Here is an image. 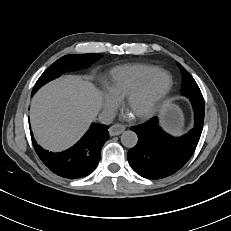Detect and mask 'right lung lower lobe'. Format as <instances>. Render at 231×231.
<instances>
[{"label":"right lung lower lobe","instance_id":"obj_1","mask_svg":"<svg viewBox=\"0 0 231 231\" xmlns=\"http://www.w3.org/2000/svg\"><path fill=\"white\" fill-rule=\"evenodd\" d=\"M108 126L93 123L87 133L72 148L59 153L40 147L32 136L35 151L41 161L55 174L77 179L89 175L98 165L101 149L109 139Z\"/></svg>","mask_w":231,"mask_h":231}]
</instances>
